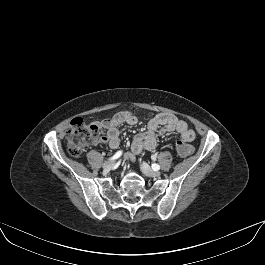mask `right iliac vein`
I'll list each match as a JSON object with an SVG mask.
<instances>
[{
  "label": "right iliac vein",
  "instance_id": "right-iliac-vein-1",
  "mask_svg": "<svg viewBox=\"0 0 265 265\" xmlns=\"http://www.w3.org/2000/svg\"><path fill=\"white\" fill-rule=\"evenodd\" d=\"M113 164H114V161H106L103 164V169L106 171H109L112 168Z\"/></svg>",
  "mask_w": 265,
  "mask_h": 265
}]
</instances>
